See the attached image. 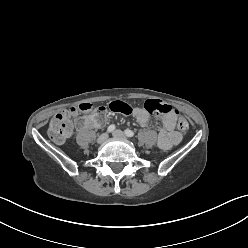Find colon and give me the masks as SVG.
Masks as SVG:
<instances>
[{
  "label": "colon",
  "instance_id": "5ec220e1",
  "mask_svg": "<svg viewBox=\"0 0 248 248\" xmlns=\"http://www.w3.org/2000/svg\"><path fill=\"white\" fill-rule=\"evenodd\" d=\"M109 109L112 112L120 113L123 115H129L132 113L133 108L130 104L123 101H113L109 104ZM144 109L155 116L167 114L174 111L171 106L167 103L160 102L157 100L149 99L144 103ZM105 108L102 106H97L91 103L81 104L79 107H71L66 109L51 120L48 128L49 137L57 143L63 142L72 131V117L82 114L87 118V120L95 125H99L104 120ZM177 127L181 132H187L189 129V124L184 117H179Z\"/></svg>",
  "mask_w": 248,
  "mask_h": 248
}]
</instances>
